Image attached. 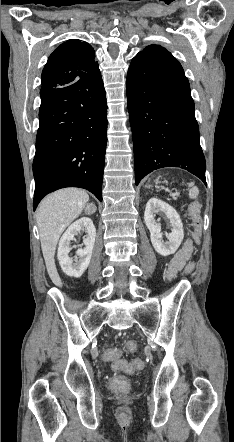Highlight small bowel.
<instances>
[{
    "label": "small bowel",
    "instance_id": "small-bowel-1",
    "mask_svg": "<svg viewBox=\"0 0 234 442\" xmlns=\"http://www.w3.org/2000/svg\"><path fill=\"white\" fill-rule=\"evenodd\" d=\"M190 255V246L185 245L171 260L166 273L167 279H171L175 274L184 267V263L188 260Z\"/></svg>",
    "mask_w": 234,
    "mask_h": 442
}]
</instances>
